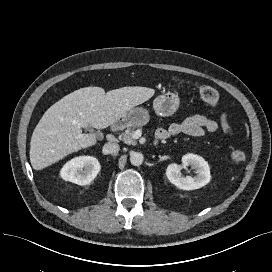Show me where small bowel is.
Instances as JSON below:
<instances>
[{"instance_id": "c3829d8e", "label": "small bowel", "mask_w": 272, "mask_h": 272, "mask_svg": "<svg viewBox=\"0 0 272 272\" xmlns=\"http://www.w3.org/2000/svg\"><path fill=\"white\" fill-rule=\"evenodd\" d=\"M218 130L225 134L231 133L225 113H222L217 120L201 114L192 115L181 122L172 123L168 128L157 129L155 137L159 140H166L181 133L199 137Z\"/></svg>"}]
</instances>
